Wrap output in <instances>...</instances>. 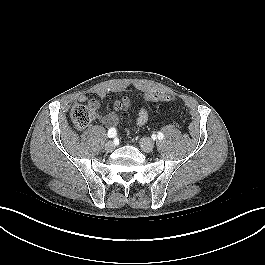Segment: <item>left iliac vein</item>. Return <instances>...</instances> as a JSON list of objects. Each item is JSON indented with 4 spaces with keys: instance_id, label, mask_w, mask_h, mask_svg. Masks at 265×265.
<instances>
[{
    "instance_id": "left-iliac-vein-1",
    "label": "left iliac vein",
    "mask_w": 265,
    "mask_h": 265,
    "mask_svg": "<svg viewBox=\"0 0 265 265\" xmlns=\"http://www.w3.org/2000/svg\"><path fill=\"white\" fill-rule=\"evenodd\" d=\"M140 147L143 151L150 153L153 151L154 149V143L152 140L148 139V138H142L140 140Z\"/></svg>"
}]
</instances>
